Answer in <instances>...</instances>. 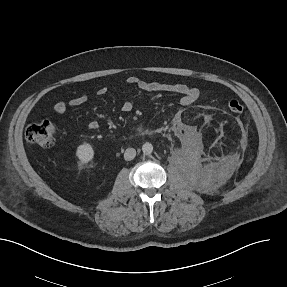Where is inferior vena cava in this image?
I'll list each match as a JSON object with an SVG mask.
<instances>
[{
  "label": "inferior vena cava",
  "mask_w": 287,
  "mask_h": 287,
  "mask_svg": "<svg viewBox=\"0 0 287 287\" xmlns=\"http://www.w3.org/2000/svg\"><path fill=\"white\" fill-rule=\"evenodd\" d=\"M135 156H136V150L134 148H127L125 150L124 159L126 161H130V160L134 159Z\"/></svg>",
  "instance_id": "1"
}]
</instances>
